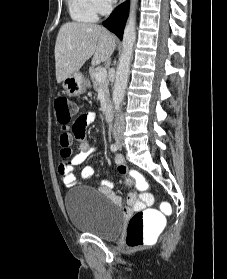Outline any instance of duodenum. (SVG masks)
<instances>
[{
    "label": "duodenum",
    "instance_id": "1",
    "mask_svg": "<svg viewBox=\"0 0 227 279\" xmlns=\"http://www.w3.org/2000/svg\"><path fill=\"white\" fill-rule=\"evenodd\" d=\"M104 116L106 120H111L112 119V107L111 106H106L104 109Z\"/></svg>",
    "mask_w": 227,
    "mask_h": 279
}]
</instances>
